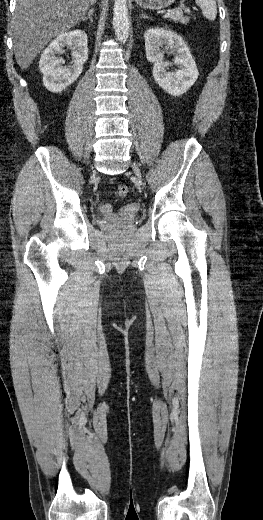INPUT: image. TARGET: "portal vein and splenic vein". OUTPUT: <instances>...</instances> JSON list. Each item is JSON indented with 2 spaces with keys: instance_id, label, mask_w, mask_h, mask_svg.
Here are the masks:
<instances>
[{
  "instance_id": "1",
  "label": "portal vein and splenic vein",
  "mask_w": 263,
  "mask_h": 520,
  "mask_svg": "<svg viewBox=\"0 0 263 520\" xmlns=\"http://www.w3.org/2000/svg\"><path fill=\"white\" fill-rule=\"evenodd\" d=\"M170 14H171V11L168 10V11L165 13L164 17H168Z\"/></svg>"
}]
</instances>
